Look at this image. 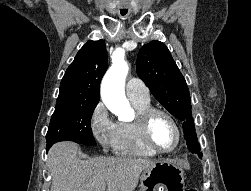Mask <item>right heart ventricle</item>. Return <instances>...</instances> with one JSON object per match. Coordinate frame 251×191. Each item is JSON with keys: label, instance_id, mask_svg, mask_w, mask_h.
<instances>
[{"label": "right heart ventricle", "instance_id": "obj_1", "mask_svg": "<svg viewBox=\"0 0 251 191\" xmlns=\"http://www.w3.org/2000/svg\"><path fill=\"white\" fill-rule=\"evenodd\" d=\"M138 112L151 107L150 99L131 100ZM116 152L141 158L154 157L156 154L144 143L137 119L118 124V142Z\"/></svg>", "mask_w": 251, "mask_h": 191}]
</instances>
